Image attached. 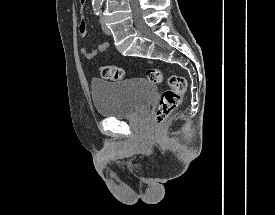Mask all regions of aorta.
Segmentation results:
<instances>
[{
    "mask_svg": "<svg viewBox=\"0 0 275 215\" xmlns=\"http://www.w3.org/2000/svg\"><path fill=\"white\" fill-rule=\"evenodd\" d=\"M93 4H95L96 6H99L102 4L103 0H92Z\"/></svg>",
    "mask_w": 275,
    "mask_h": 215,
    "instance_id": "aorta-1",
    "label": "aorta"
}]
</instances>
